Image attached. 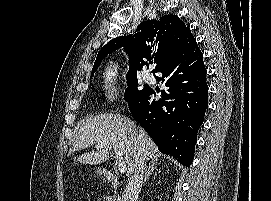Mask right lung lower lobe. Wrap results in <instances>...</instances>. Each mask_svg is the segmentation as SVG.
<instances>
[{
	"instance_id": "obj_1",
	"label": "right lung lower lobe",
	"mask_w": 271,
	"mask_h": 201,
	"mask_svg": "<svg viewBox=\"0 0 271 201\" xmlns=\"http://www.w3.org/2000/svg\"><path fill=\"white\" fill-rule=\"evenodd\" d=\"M157 72L168 89L155 100L149 88L128 101L131 114L148 132L160 152L182 165L194 159L197 132L208 107V86L203 54L195 38L186 39L178 52Z\"/></svg>"
}]
</instances>
